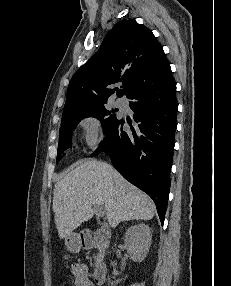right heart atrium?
<instances>
[{"mask_svg": "<svg viewBox=\"0 0 231 286\" xmlns=\"http://www.w3.org/2000/svg\"><path fill=\"white\" fill-rule=\"evenodd\" d=\"M81 137L90 150L97 149L102 142L100 120L94 115H88L80 121Z\"/></svg>", "mask_w": 231, "mask_h": 286, "instance_id": "obj_1", "label": "right heart atrium"}]
</instances>
